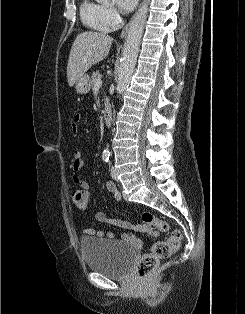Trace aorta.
I'll list each match as a JSON object with an SVG mask.
<instances>
[{"label":"aorta","mask_w":245,"mask_h":314,"mask_svg":"<svg viewBox=\"0 0 245 314\" xmlns=\"http://www.w3.org/2000/svg\"><path fill=\"white\" fill-rule=\"evenodd\" d=\"M97 1L101 3H107L110 0ZM148 1L149 0H143L129 25L128 34L118 69L117 91L120 94L128 88L135 69L139 46L148 16ZM105 153H109L108 147L105 149Z\"/></svg>","instance_id":"1"}]
</instances>
